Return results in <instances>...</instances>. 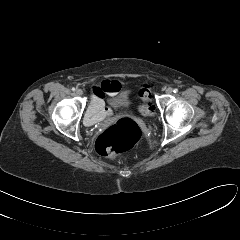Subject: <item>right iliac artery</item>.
I'll list each match as a JSON object with an SVG mask.
<instances>
[{"mask_svg": "<svg viewBox=\"0 0 240 240\" xmlns=\"http://www.w3.org/2000/svg\"><path fill=\"white\" fill-rule=\"evenodd\" d=\"M75 90H76V89L73 87V88H72V91H75Z\"/></svg>", "mask_w": 240, "mask_h": 240, "instance_id": "82829eb1", "label": "right iliac artery"}]
</instances>
